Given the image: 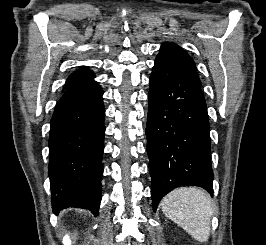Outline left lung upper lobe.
<instances>
[{"instance_id": "5c2ea615", "label": "left lung upper lobe", "mask_w": 266, "mask_h": 245, "mask_svg": "<svg viewBox=\"0 0 266 245\" xmlns=\"http://www.w3.org/2000/svg\"><path fill=\"white\" fill-rule=\"evenodd\" d=\"M156 59L167 60L170 63L182 68L184 72L191 75L200 83L193 59L177 44L172 42H164Z\"/></svg>"}]
</instances>
